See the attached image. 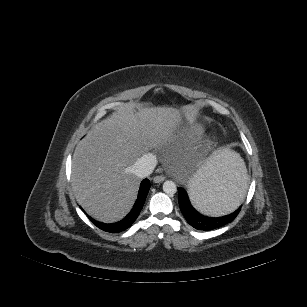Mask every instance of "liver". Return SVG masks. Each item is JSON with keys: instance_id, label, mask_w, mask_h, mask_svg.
I'll use <instances>...</instances> for the list:
<instances>
[{"instance_id": "liver-1", "label": "liver", "mask_w": 307, "mask_h": 307, "mask_svg": "<svg viewBox=\"0 0 307 307\" xmlns=\"http://www.w3.org/2000/svg\"><path fill=\"white\" fill-rule=\"evenodd\" d=\"M194 106H122L77 145L72 186L78 203L95 219L112 223L127 215L140 185L133 165L152 149L170 146L183 119L195 121Z\"/></svg>"}]
</instances>
